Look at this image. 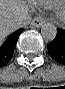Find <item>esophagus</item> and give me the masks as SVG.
<instances>
[{
	"label": "esophagus",
	"instance_id": "34e87169",
	"mask_svg": "<svg viewBox=\"0 0 65 89\" xmlns=\"http://www.w3.org/2000/svg\"><path fill=\"white\" fill-rule=\"evenodd\" d=\"M45 20H43L42 18L36 17L32 20L31 25L33 27L39 28L44 24Z\"/></svg>",
	"mask_w": 65,
	"mask_h": 89
}]
</instances>
